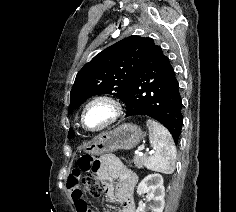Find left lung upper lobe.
<instances>
[{
	"label": "left lung upper lobe",
	"instance_id": "left-lung-upper-lobe-1",
	"mask_svg": "<svg viewBox=\"0 0 236 212\" xmlns=\"http://www.w3.org/2000/svg\"><path fill=\"white\" fill-rule=\"evenodd\" d=\"M150 38L130 36L106 48L78 73L70 94L68 114L97 94H112L121 101L134 80ZM74 136L69 130L68 138Z\"/></svg>",
	"mask_w": 236,
	"mask_h": 212
}]
</instances>
